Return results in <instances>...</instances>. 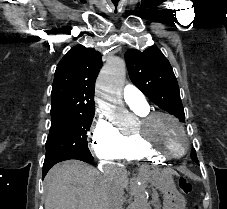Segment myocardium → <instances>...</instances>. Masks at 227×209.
I'll return each instance as SVG.
<instances>
[{
  "instance_id": "1",
  "label": "myocardium",
  "mask_w": 227,
  "mask_h": 209,
  "mask_svg": "<svg viewBox=\"0 0 227 209\" xmlns=\"http://www.w3.org/2000/svg\"><path fill=\"white\" fill-rule=\"evenodd\" d=\"M158 117H165L170 119L171 121H173L177 127L181 130V132L183 133V135L185 136L186 139V144L184 149L180 152V153H170V154H164L162 151H160L158 148H156L155 146L152 145V143L148 140V138L146 137L145 133H144V128H146L147 126H149L155 119H157ZM140 129L137 130L134 135L136 137V139L138 140V142L143 146V148L149 153L152 154L154 156H157L163 160H170V159H176V158H180L182 156H184L190 147V139H189V135L187 133V130L185 128V126L183 125V123L174 115L168 113V112H164V111H151V112H147L144 116H142L140 118Z\"/></svg>"
}]
</instances>
